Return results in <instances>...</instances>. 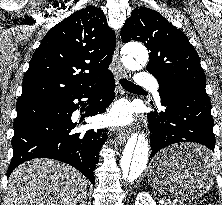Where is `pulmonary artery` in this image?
I'll return each instance as SVG.
<instances>
[{"label":"pulmonary artery","instance_id":"e3ab8cb5","mask_svg":"<svg viewBox=\"0 0 222 205\" xmlns=\"http://www.w3.org/2000/svg\"><path fill=\"white\" fill-rule=\"evenodd\" d=\"M136 85L143 89L152 90L155 93V95L159 97L157 80L153 75L145 72L139 73L136 78Z\"/></svg>","mask_w":222,"mask_h":205}]
</instances>
